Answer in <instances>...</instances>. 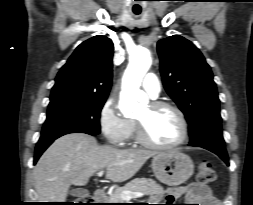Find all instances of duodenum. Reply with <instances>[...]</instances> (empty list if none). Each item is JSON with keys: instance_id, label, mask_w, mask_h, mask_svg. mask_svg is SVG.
Here are the masks:
<instances>
[{"instance_id": "410a0bca", "label": "duodenum", "mask_w": 253, "mask_h": 205, "mask_svg": "<svg viewBox=\"0 0 253 205\" xmlns=\"http://www.w3.org/2000/svg\"><path fill=\"white\" fill-rule=\"evenodd\" d=\"M93 198L98 203H102L106 201L107 199L106 191L103 189H97L93 194Z\"/></svg>"}]
</instances>
